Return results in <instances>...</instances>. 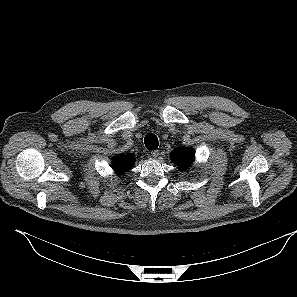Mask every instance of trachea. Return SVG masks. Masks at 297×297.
Returning a JSON list of instances; mask_svg holds the SVG:
<instances>
[{
  "label": "trachea",
  "mask_w": 297,
  "mask_h": 297,
  "mask_svg": "<svg viewBox=\"0 0 297 297\" xmlns=\"http://www.w3.org/2000/svg\"><path fill=\"white\" fill-rule=\"evenodd\" d=\"M144 143L147 149L156 150L158 148V138L152 133H148L144 138Z\"/></svg>",
  "instance_id": "3493384b"
}]
</instances>
